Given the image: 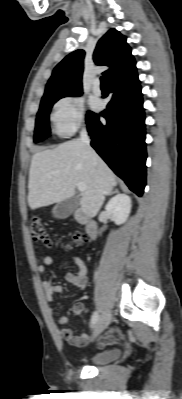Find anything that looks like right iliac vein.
<instances>
[{
    "instance_id": "right-iliac-vein-1",
    "label": "right iliac vein",
    "mask_w": 182,
    "mask_h": 399,
    "mask_svg": "<svg viewBox=\"0 0 182 399\" xmlns=\"http://www.w3.org/2000/svg\"><path fill=\"white\" fill-rule=\"evenodd\" d=\"M110 321L111 313L109 311L103 312L95 325L93 337L99 335L105 328H107V326L110 324Z\"/></svg>"
}]
</instances>
